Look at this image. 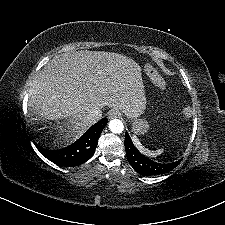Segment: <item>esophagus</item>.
Segmentation results:
<instances>
[{
	"label": "esophagus",
	"mask_w": 225,
	"mask_h": 225,
	"mask_svg": "<svg viewBox=\"0 0 225 225\" xmlns=\"http://www.w3.org/2000/svg\"><path fill=\"white\" fill-rule=\"evenodd\" d=\"M111 119H121L122 118V113L117 110V109H112L110 111V116Z\"/></svg>",
	"instance_id": "obj_1"
}]
</instances>
